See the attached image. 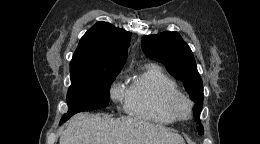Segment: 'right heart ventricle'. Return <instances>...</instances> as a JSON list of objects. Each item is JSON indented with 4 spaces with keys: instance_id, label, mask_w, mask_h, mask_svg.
Instances as JSON below:
<instances>
[{
    "instance_id": "e07e8e85",
    "label": "right heart ventricle",
    "mask_w": 260,
    "mask_h": 144,
    "mask_svg": "<svg viewBox=\"0 0 260 144\" xmlns=\"http://www.w3.org/2000/svg\"><path fill=\"white\" fill-rule=\"evenodd\" d=\"M176 82L155 64L145 65L135 74L125 92V110L137 119L159 125L175 123L163 108L164 98L177 92Z\"/></svg>"
}]
</instances>
